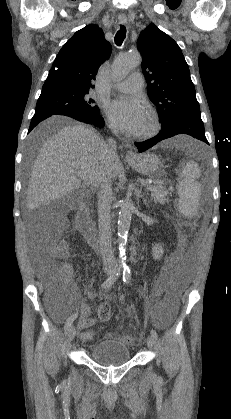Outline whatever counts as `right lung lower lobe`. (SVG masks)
Here are the masks:
<instances>
[{
	"label": "right lung lower lobe",
	"mask_w": 231,
	"mask_h": 419,
	"mask_svg": "<svg viewBox=\"0 0 231 419\" xmlns=\"http://www.w3.org/2000/svg\"><path fill=\"white\" fill-rule=\"evenodd\" d=\"M52 116V114H49L47 112H37L34 114L31 124H30V128L28 133L42 120L48 118ZM79 120L81 122H85L87 124H91V125H95L97 127H103L104 126V121L102 119V117L100 115L98 116H94L93 118L90 119H76Z\"/></svg>",
	"instance_id": "1"
}]
</instances>
